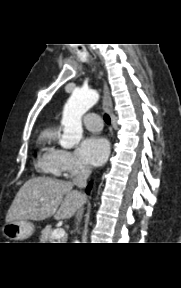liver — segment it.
Listing matches in <instances>:
<instances>
[{
	"label": "liver",
	"instance_id": "6515ba94",
	"mask_svg": "<svg viewBox=\"0 0 181 288\" xmlns=\"http://www.w3.org/2000/svg\"><path fill=\"white\" fill-rule=\"evenodd\" d=\"M86 202V196L73 189L69 181L48 177L29 179L19 189L10 206L6 223L18 220L69 219Z\"/></svg>",
	"mask_w": 181,
	"mask_h": 288
}]
</instances>
